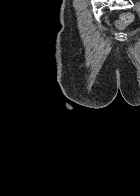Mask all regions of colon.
Returning <instances> with one entry per match:
<instances>
[{
  "label": "colon",
  "mask_w": 140,
  "mask_h": 196,
  "mask_svg": "<svg viewBox=\"0 0 140 196\" xmlns=\"http://www.w3.org/2000/svg\"><path fill=\"white\" fill-rule=\"evenodd\" d=\"M133 20V16L129 13H124L120 16L118 22H117V25L119 27H124L128 24H130Z\"/></svg>",
  "instance_id": "5ec220e1"
}]
</instances>
